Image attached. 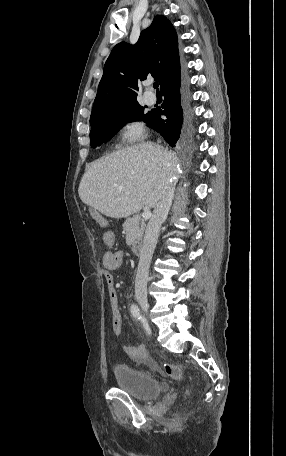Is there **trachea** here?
<instances>
[{
  "label": "trachea",
  "mask_w": 286,
  "mask_h": 456,
  "mask_svg": "<svg viewBox=\"0 0 286 456\" xmlns=\"http://www.w3.org/2000/svg\"><path fill=\"white\" fill-rule=\"evenodd\" d=\"M153 87H154V89L157 90V92H159V89H158V82H155V83L153 84Z\"/></svg>",
  "instance_id": "obj_1"
}]
</instances>
